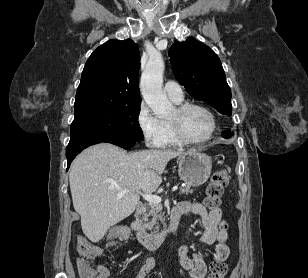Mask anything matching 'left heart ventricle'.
Segmentation results:
<instances>
[{"mask_svg": "<svg viewBox=\"0 0 308 278\" xmlns=\"http://www.w3.org/2000/svg\"><path fill=\"white\" fill-rule=\"evenodd\" d=\"M168 120H178L183 131L192 139L205 138L211 129L209 116L201 109L191 108L182 115L172 110Z\"/></svg>", "mask_w": 308, "mask_h": 278, "instance_id": "b2bd125f", "label": "left heart ventricle"}]
</instances>
